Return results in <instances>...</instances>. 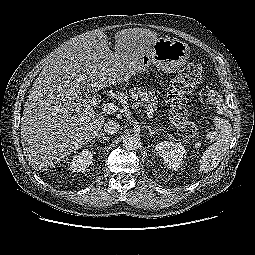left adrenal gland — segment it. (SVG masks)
Segmentation results:
<instances>
[{"label":"left adrenal gland","instance_id":"left-adrenal-gland-1","mask_svg":"<svg viewBox=\"0 0 255 255\" xmlns=\"http://www.w3.org/2000/svg\"><path fill=\"white\" fill-rule=\"evenodd\" d=\"M147 129H148V131H149V133H150L151 136H152L153 134H155L157 131H160V129H154V130H152V129L150 128V126H148Z\"/></svg>","mask_w":255,"mask_h":255}]
</instances>
